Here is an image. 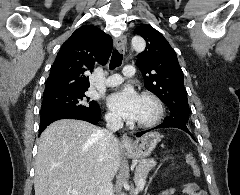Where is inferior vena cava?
Returning a JSON list of instances; mask_svg holds the SVG:
<instances>
[{
    "mask_svg": "<svg viewBox=\"0 0 240 195\" xmlns=\"http://www.w3.org/2000/svg\"><path fill=\"white\" fill-rule=\"evenodd\" d=\"M105 119L107 121V129H97L96 131L98 135V147L101 151H105L106 147L111 145V143H117L118 139L115 137L114 131H118L120 127H123L120 117H116V115H112V113H107ZM101 157H103V153H101ZM97 195H114L111 179L100 177Z\"/></svg>",
    "mask_w": 240,
    "mask_h": 195,
    "instance_id": "1",
    "label": "inferior vena cava"
}]
</instances>
